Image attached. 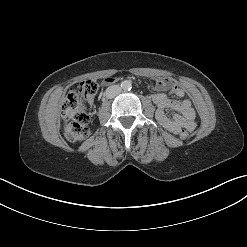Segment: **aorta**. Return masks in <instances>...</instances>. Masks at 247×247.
<instances>
[{"instance_id": "aorta-1", "label": "aorta", "mask_w": 247, "mask_h": 247, "mask_svg": "<svg viewBox=\"0 0 247 247\" xmlns=\"http://www.w3.org/2000/svg\"><path fill=\"white\" fill-rule=\"evenodd\" d=\"M121 88L124 90V91H127V90H131L132 88V83L130 80H125L121 83Z\"/></svg>"}]
</instances>
